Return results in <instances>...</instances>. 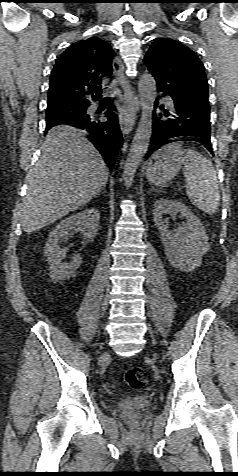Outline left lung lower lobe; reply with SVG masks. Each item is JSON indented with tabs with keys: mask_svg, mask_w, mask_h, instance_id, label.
I'll return each instance as SVG.
<instances>
[{
	"mask_svg": "<svg viewBox=\"0 0 238 476\" xmlns=\"http://www.w3.org/2000/svg\"><path fill=\"white\" fill-rule=\"evenodd\" d=\"M158 102L159 99L155 102V109L159 110V114L153 120L147 155L169 143L181 140L196 142L214 155L210 141L209 111L180 106L175 101L170 108H165Z\"/></svg>",
	"mask_w": 238,
	"mask_h": 476,
	"instance_id": "1",
	"label": "left lung lower lobe"
}]
</instances>
